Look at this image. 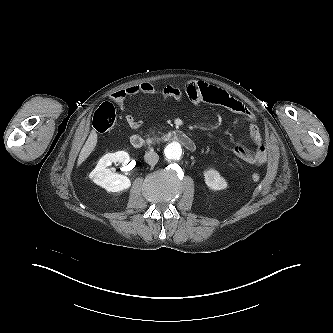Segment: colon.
<instances>
[{
  "label": "colon",
  "instance_id": "1",
  "mask_svg": "<svg viewBox=\"0 0 333 333\" xmlns=\"http://www.w3.org/2000/svg\"><path fill=\"white\" fill-rule=\"evenodd\" d=\"M116 124V111L114 106L105 102L101 104L95 111L93 116V127L101 133L108 132L114 128ZM252 180L258 182L260 175L258 173L252 174Z\"/></svg>",
  "mask_w": 333,
  "mask_h": 333
}]
</instances>
